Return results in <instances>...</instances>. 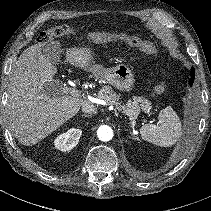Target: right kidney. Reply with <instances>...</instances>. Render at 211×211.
<instances>
[{"mask_svg":"<svg viewBox=\"0 0 211 211\" xmlns=\"http://www.w3.org/2000/svg\"><path fill=\"white\" fill-rule=\"evenodd\" d=\"M81 135L82 131L80 129L72 128L66 133L59 135L54 140V145L57 149L61 151H69L78 144Z\"/></svg>","mask_w":211,"mask_h":211,"instance_id":"right-kidney-1","label":"right kidney"}]
</instances>
